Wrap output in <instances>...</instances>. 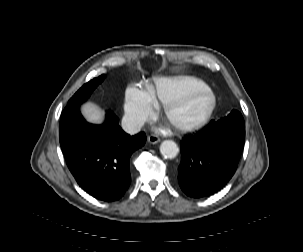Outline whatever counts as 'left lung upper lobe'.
I'll return each instance as SVG.
<instances>
[{
	"label": "left lung upper lobe",
	"mask_w": 303,
	"mask_h": 252,
	"mask_svg": "<svg viewBox=\"0 0 303 252\" xmlns=\"http://www.w3.org/2000/svg\"><path fill=\"white\" fill-rule=\"evenodd\" d=\"M223 127H240L245 128L244 119L240 112L237 110H232V112L219 121L212 120L210 124L205 129H215Z\"/></svg>",
	"instance_id": "left-lung-upper-lobe-1"
}]
</instances>
